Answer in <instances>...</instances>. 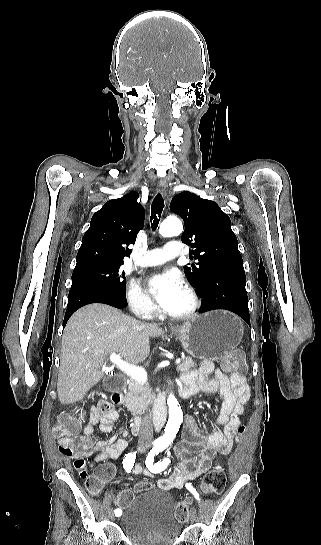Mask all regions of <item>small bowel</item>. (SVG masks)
I'll return each instance as SVG.
<instances>
[{"label": "small bowel", "instance_id": "obj_1", "mask_svg": "<svg viewBox=\"0 0 321 545\" xmlns=\"http://www.w3.org/2000/svg\"><path fill=\"white\" fill-rule=\"evenodd\" d=\"M210 375L212 377L209 378ZM182 381L181 392L185 397H191L200 392H219L223 396V401L216 421V428L206 437L199 435L195 419L192 416L188 417L182 439L175 447L176 456L180 462L170 477L160 478L157 481L158 487L164 490L182 488L186 481L196 479L206 473L218 456L230 452L236 429L240 425L239 417L250 398V389L245 377H228L216 369L211 361H205L197 370L185 373ZM118 417L119 412L115 408L107 402H101L98 406L91 408L88 423L83 430L84 435L91 437L96 424H99L102 432L112 433L114 431L113 423ZM126 437L127 433L120 430V437L111 436L108 440H98L94 444L86 446L85 455L98 453L94 461L95 463H103L96 471L98 474L103 473V483L109 482L115 477L116 468L107 461L119 457L124 451L128 444ZM79 460L82 459H78L76 462ZM132 472L135 475L154 476L149 468L141 464L135 465Z\"/></svg>", "mask_w": 321, "mask_h": 545}]
</instances>
